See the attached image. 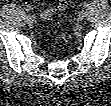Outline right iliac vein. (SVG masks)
I'll use <instances>...</instances> for the list:
<instances>
[{
  "mask_svg": "<svg viewBox=\"0 0 111 106\" xmlns=\"http://www.w3.org/2000/svg\"><path fill=\"white\" fill-rule=\"evenodd\" d=\"M33 17L32 16H29V17H26V23L31 25L33 23Z\"/></svg>",
  "mask_w": 111,
  "mask_h": 106,
  "instance_id": "obj_1",
  "label": "right iliac vein"
}]
</instances>
